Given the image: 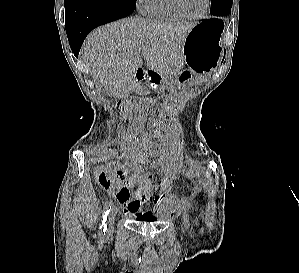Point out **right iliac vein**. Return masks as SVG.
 <instances>
[{
    "label": "right iliac vein",
    "instance_id": "obj_1",
    "mask_svg": "<svg viewBox=\"0 0 299 273\" xmlns=\"http://www.w3.org/2000/svg\"><path fill=\"white\" fill-rule=\"evenodd\" d=\"M116 214H117V207L113 206L110 209L109 215H108V227H109V229H111L113 224H114Z\"/></svg>",
    "mask_w": 299,
    "mask_h": 273
}]
</instances>
